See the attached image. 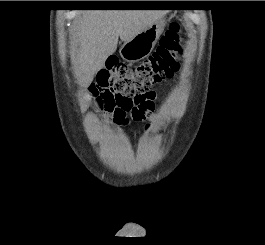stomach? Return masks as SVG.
Returning <instances> with one entry per match:
<instances>
[{"label":"stomach","instance_id":"obj_1","mask_svg":"<svg viewBox=\"0 0 265 245\" xmlns=\"http://www.w3.org/2000/svg\"><path fill=\"white\" fill-rule=\"evenodd\" d=\"M164 27L165 19L160 18L131 40L124 42L119 50L121 57L127 62L134 63L149 56Z\"/></svg>","mask_w":265,"mask_h":245}]
</instances>
